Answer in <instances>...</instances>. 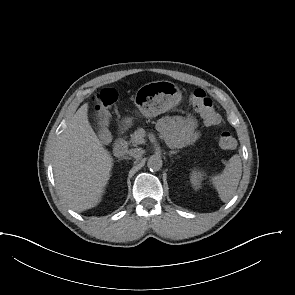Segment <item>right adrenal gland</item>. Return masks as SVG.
<instances>
[{
	"label": "right adrenal gland",
	"mask_w": 295,
	"mask_h": 295,
	"mask_svg": "<svg viewBox=\"0 0 295 295\" xmlns=\"http://www.w3.org/2000/svg\"><path fill=\"white\" fill-rule=\"evenodd\" d=\"M123 159H128V157H123V158H121L120 160H123Z\"/></svg>",
	"instance_id": "1"
}]
</instances>
